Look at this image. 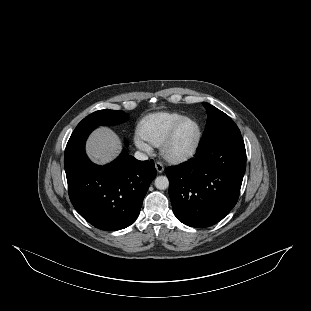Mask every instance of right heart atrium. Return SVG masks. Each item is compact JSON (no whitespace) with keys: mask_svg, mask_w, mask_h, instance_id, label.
I'll use <instances>...</instances> for the list:
<instances>
[{"mask_svg":"<svg viewBox=\"0 0 311 311\" xmlns=\"http://www.w3.org/2000/svg\"><path fill=\"white\" fill-rule=\"evenodd\" d=\"M135 144L138 148L150 152V147L148 146V144H146L144 141H142L140 138H136L135 139Z\"/></svg>","mask_w":311,"mask_h":311,"instance_id":"right-heart-atrium-1","label":"right heart atrium"}]
</instances>
